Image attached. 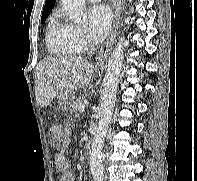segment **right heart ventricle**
<instances>
[{
    "label": "right heart ventricle",
    "instance_id": "1",
    "mask_svg": "<svg viewBox=\"0 0 197 181\" xmlns=\"http://www.w3.org/2000/svg\"><path fill=\"white\" fill-rule=\"evenodd\" d=\"M46 44L51 55L61 58L79 55L80 48L76 42L74 26L53 16L46 32Z\"/></svg>",
    "mask_w": 197,
    "mask_h": 181
}]
</instances>
